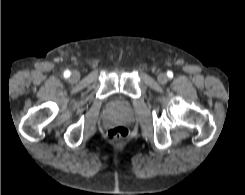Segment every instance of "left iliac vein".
I'll return each mask as SVG.
<instances>
[{
    "label": "left iliac vein",
    "instance_id": "4c4485c4",
    "mask_svg": "<svg viewBox=\"0 0 245 195\" xmlns=\"http://www.w3.org/2000/svg\"><path fill=\"white\" fill-rule=\"evenodd\" d=\"M157 80H158L159 83L165 84V83L167 82L168 78H167V75H166V74L160 73V74L157 76Z\"/></svg>",
    "mask_w": 245,
    "mask_h": 195
}]
</instances>
